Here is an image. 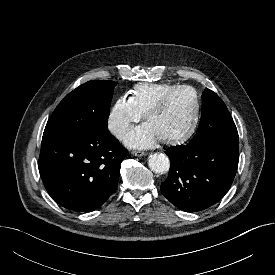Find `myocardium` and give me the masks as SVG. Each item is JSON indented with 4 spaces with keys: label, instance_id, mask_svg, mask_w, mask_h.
I'll return each mask as SVG.
<instances>
[{
    "label": "myocardium",
    "instance_id": "1",
    "mask_svg": "<svg viewBox=\"0 0 275 275\" xmlns=\"http://www.w3.org/2000/svg\"><path fill=\"white\" fill-rule=\"evenodd\" d=\"M182 90H190L194 94L195 109H194L193 118H192V121H191L189 127L187 128V130L185 132H183L182 134L175 136V137H171V138L161 139V141L165 144L183 143V142L187 141L196 131L198 123H199V119H200V112H201V101H200V96H199L198 91L193 86H190V85H178V86L170 89L166 93H164L157 100V102L149 108V110L145 114V119H146V121H148L153 115L159 113L160 111H162L164 109V107L166 106V104L169 101V99L171 98V96H173L175 93L182 91Z\"/></svg>",
    "mask_w": 275,
    "mask_h": 275
}]
</instances>
